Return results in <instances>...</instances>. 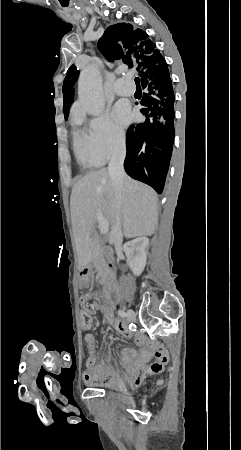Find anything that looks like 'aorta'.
Listing matches in <instances>:
<instances>
[{
  "label": "aorta",
  "mask_w": 241,
  "mask_h": 450,
  "mask_svg": "<svg viewBox=\"0 0 241 450\" xmlns=\"http://www.w3.org/2000/svg\"><path fill=\"white\" fill-rule=\"evenodd\" d=\"M78 96L83 109L90 115L98 116L103 111L105 99L102 79L94 65H87L80 73L78 80Z\"/></svg>",
  "instance_id": "762f6f07"
}]
</instances>
